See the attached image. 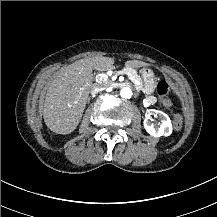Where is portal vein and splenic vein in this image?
Returning a JSON list of instances; mask_svg holds the SVG:
<instances>
[{
	"label": "portal vein and splenic vein",
	"instance_id": "1",
	"mask_svg": "<svg viewBox=\"0 0 217 217\" xmlns=\"http://www.w3.org/2000/svg\"><path fill=\"white\" fill-rule=\"evenodd\" d=\"M126 74L128 75L129 79L133 82L134 78L132 77L131 73H126ZM77 103H78V101L76 100L75 104H77Z\"/></svg>",
	"mask_w": 217,
	"mask_h": 217
}]
</instances>
